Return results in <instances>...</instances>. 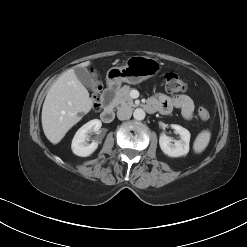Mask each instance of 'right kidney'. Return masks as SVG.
Wrapping results in <instances>:
<instances>
[{"label": "right kidney", "mask_w": 247, "mask_h": 247, "mask_svg": "<svg viewBox=\"0 0 247 247\" xmlns=\"http://www.w3.org/2000/svg\"><path fill=\"white\" fill-rule=\"evenodd\" d=\"M102 126V122L98 119L91 120L84 124L75 134L71 148L75 155L87 157L91 155L98 147V142L93 140L89 141V134L98 132Z\"/></svg>", "instance_id": "right-kidney-1"}]
</instances>
